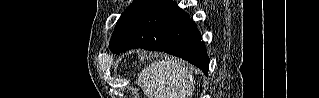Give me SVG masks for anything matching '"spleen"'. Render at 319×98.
<instances>
[{
	"label": "spleen",
	"mask_w": 319,
	"mask_h": 98,
	"mask_svg": "<svg viewBox=\"0 0 319 98\" xmlns=\"http://www.w3.org/2000/svg\"><path fill=\"white\" fill-rule=\"evenodd\" d=\"M136 83L147 98H189L193 95L195 81L189 66L167 58L145 67Z\"/></svg>",
	"instance_id": "spleen-1"
}]
</instances>
